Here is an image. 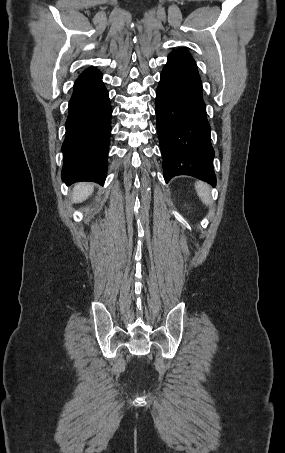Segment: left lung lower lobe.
Here are the masks:
<instances>
[{"mask_svg":"<svg viewBox=\"0 0 285 453\" xmlns=\"http://www.w3.org/2000/svg\"><path fill=\"white\" fill-rule=\"evenodd\" d=\"M196 63L185 49L173 50L156 91L157 132L168 182L189 175L216 185L214 149Z\"/></svg>","mask_w":285,"mask_h":453,"instance_id":"1","label":"left lung lower lobe"}]
</instances>
